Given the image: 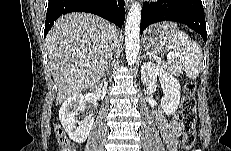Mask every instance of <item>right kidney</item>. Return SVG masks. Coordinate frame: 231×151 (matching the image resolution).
Here are the masks:
<instances>
[{
  "mask_svg": "<svg viewBox=\"0 0 231 151\" xmlns=\"http://www.w3.org/2000/svg\"><path fill=\"white\" fill-rule=\"evenodd\" d=\"M92 100V94L83 95L77 93L64 101L59 110V120L68 134L69 138L76 143L86 141L94 124L92 114L78 120V113L85 110V102Z\"/></svg>",
  "mask_w": 231,
  "mask_h": 151,
  "instance_id": "ca27d5eb",
  "label": "right kidney"
}]
</instances>
